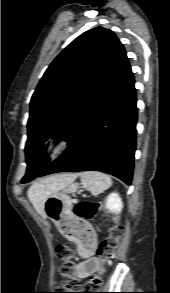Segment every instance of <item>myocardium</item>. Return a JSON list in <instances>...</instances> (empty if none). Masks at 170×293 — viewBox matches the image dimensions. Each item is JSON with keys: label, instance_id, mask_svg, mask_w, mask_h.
Masks as SVG:
<instances>
[{"label": "myocardium", "instance_id": "obj_1", "mask_svg": "<svg viewBox=\"0 0 170 293\" xmlns=\"http://www.w3.org/2000/svg\"><path fill=\"white\" fill-rule=\"evenodd\" d=\"M64 148V142L60 137L51 138L44 145V154L47 157H55L59 155Z\"/></svg>", "mask_w": 170, "mask_h": 293}]
</instances>
